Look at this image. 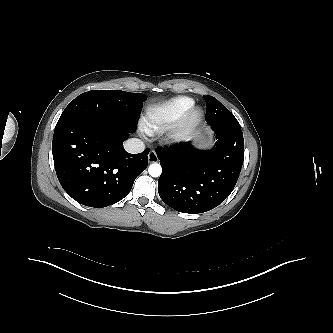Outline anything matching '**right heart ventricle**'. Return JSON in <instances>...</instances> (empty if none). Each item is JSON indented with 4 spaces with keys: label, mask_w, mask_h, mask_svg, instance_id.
Here are the masks:
<instances>
[{
    "label": "right heart ventricle",
    "mask_w": 333,
    "mask_h": 333,
    "mask_svg": "<svg viewBox=\"0 0 333 333\" xmlns=\"http://www.w3.org/2000/svg\"><path fill=\"white\" fill-rule=\"evenodd\" d=\"M189 97H175L150 107L143 119L146 132H158L181 118L193 106Z\"/></svg>",
    "instance_id": "e07e8e85"
}]
</instances>
